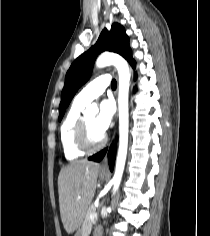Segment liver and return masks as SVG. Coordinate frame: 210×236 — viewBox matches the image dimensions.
<instances>
[{
    "label": "liver",
    "instance_id": "liver-1",
    "mask_svg": "<svg viewBox=\"0 0 210 236\" xmlns=\"http://www.w3.org/2000/svg\"><path fill=\"white\" fill-rule=\"evenodd\" d=\"M99 164L79 160L61 169L58 176L59 207L68 234L77 230L95 195ZM78 197H81L78 199Z\"/></svg>",
    "mask_w": 210,
    "mask_h": 236
}]
</instances>
